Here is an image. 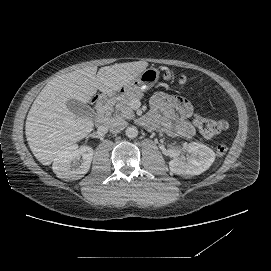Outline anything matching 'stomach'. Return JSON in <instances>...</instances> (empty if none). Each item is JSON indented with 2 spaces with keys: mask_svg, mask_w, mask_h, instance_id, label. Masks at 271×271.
<instances>
[{
  "mask_svg": "<svg viewBox=\"0 0 271 271\" xmlns=\"http://www.w3.org/2000/svg\"><path fill=\"white\" fill-rule=\"evenodd\" d=\"M158 79V72L153 69L143 70L134 80L124 84L115 90L109 91L110 96L117 100L124 98L130 93H141L150 89Z\"/></svg>",
  "mask_w": 271,
  "mask_h": 271,
  "instance_id": "1",
  "label": "stomach"
}]
</instances>
